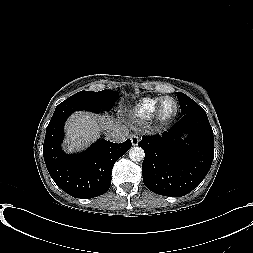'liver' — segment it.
<instances>
[{
    "label": "liver",
    "instance_id": "obj_1",
    "mask_svg": "<svg viewBox=\"0 0 253 253\" xmlns=\"http://www.w3.org/2000/svg\"><path fill=\"white\" fill-rule=\"evenodd\" d=\"M115 126H120L119 122L115 124L112 118H97L89 112H76L65 125L64 149L69 153L84 149L99 137L102 130L108 131Z\"/></svg>",
    "mask_w": 253,
    "mask_h": 253
}]
</instances>
